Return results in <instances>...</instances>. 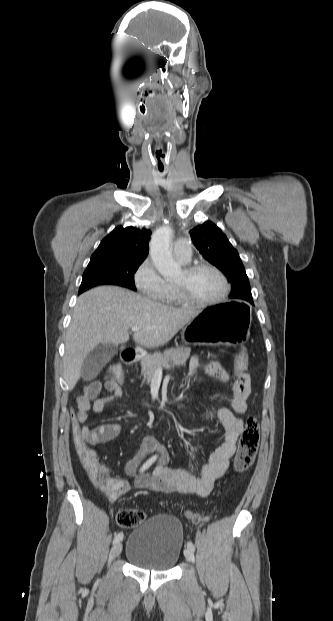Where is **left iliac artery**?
I'll return each instance as SVG.
<instances>
[{
	"mask_svg": "<svg viewBox=\"0 0 333 621\" xmlns=\"http://www.w3.org/2000/svg\"><path fill=\"white\" fill-rule=\"evenodd\" d=\"M187 547H188L189 549H191L192 551H194V550H195V546H194V544H193L191 541H188V542H187Z\"/></svg>",
	"mask_w": 333,
	"mask_h": 621,
	"instance_id": "1",
	"label": "left iliac artery"
}]
</instances>
